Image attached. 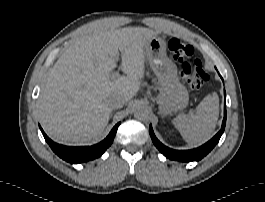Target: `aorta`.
Here are the masks:
<instances>
[{
  "label": "aorta",
  "instance_id": "obj_1",
  "mask_svg": "<svg viewBox=\"0 0 265 202\" xmlns=\"http://www.w3.org/2000/svg\"><path fill=\"white\" fill-rule=\"evenodd\" d=\"M134 116L138 120L147 121L149 120V117H150V111L146 105L139 104L136 106L134 110Z\"/></svg>",
  "mask_w": 265,
  "mask_h": 202
}]
</instances>
